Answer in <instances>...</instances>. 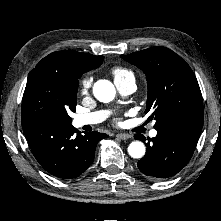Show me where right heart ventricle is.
<instances>
[{
  "mask_svg": "<svg viewBox=\"0 0 221 221\" xmlns=\"http://www.w3.org/2000/svg\"><path fill=\"white\" fill-rule=\"evenodd\" d=\"M115 82H121L129 78H134L133 73L123 67H115L111 71Z\"/></svg>",
  "mask_w": 221,
  "mask_h": 221,
  "instance_id": "1",
  "label": "right heart ventricle"
}]
</instances>
